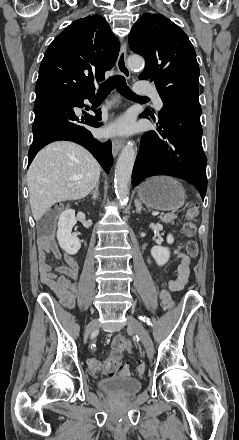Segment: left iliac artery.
<instances>
[{
  "instance_id": "obj_1",
  "label": "left iliac artery",
  "mask_w": 239,
  "mask_h": 440,
  "mask_svg": "<svg viewBox=\"0 0 239 440\" xmlns=\"http://www.w3.org/2000/svg\"><path fill=\"white\" fill-rule=\"evenodd\" d=\"M139 318H140V320H142L143 322L147 323L149 326H150V325L152 326V323H151V321H150L149 318H147V317H145V316H141V317H139Z\"/></svg>"
}]
</instances>
